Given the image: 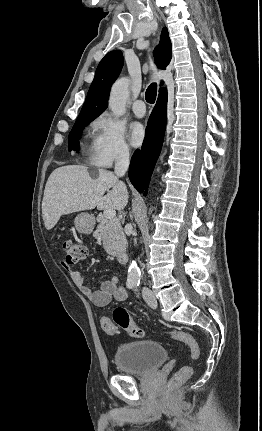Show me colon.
Masks as SVG:
<instances>
[{"mask_svg": "<svg viewBox=\"0 0 262 431\" xmlns=\"http://www.w3.org/2000/svg\"><path fill=\"white\" fill-rule=\"evenodd\" d=\"M62 249L65 252L63 264H76L87 257V247L74 239H67L62 244ZM103 331L109 335L115 334L119 329L125 330L131 337H140L143 332L130 318L127 309L118 307L113 311L112 320L109 317L103 316L100 319ZM169 335L175 339L184 342L190 349L191 358L197 361L200 357V346L193 335L186 331L172 330ZM193 374L191 366L181 367L172 377L170 384L179 385L189 380Z\"/></svg>", "mask_w": 262, "mask_h": 431, "instance_id": "colon-1", "label": "colon"}]
</instances>
